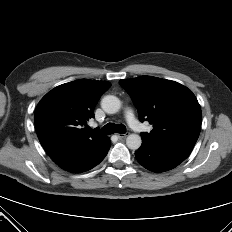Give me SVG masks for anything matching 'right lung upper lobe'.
I'll use <instances>...</instances> for the list:
<instances>
[{"label":"right lung upper lobe","mask_w":232,"mask_h":232,"mask_svg":"<svg viewBox=\"0 0 232 232\" xmlns=\"http://www.w3.org/2000/svg\"><path fill=\"white\" fill-rule=\"evenodd\" d=\"M107 81L80 79L59 85L37 105L34 121L41 145L55 163L101 151L110 139L82 128L110 88Z\"/></svg>","instance_id":"right-lung-upper-lobe-1"}]
</instances>
